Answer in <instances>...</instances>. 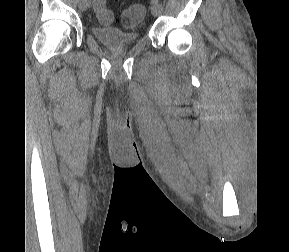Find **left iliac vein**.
Returning a JSON list of instances; mask_svg holds the SVG:
<instances>
[{
    "instance_id": "left-iliac-vein-1",
    "label": "left iliac vein",
    "mask_w": 289,
    "mask_h": 252,
    "mask_svg": "<svg viewBox=\"0 0 289 252\" xmlns=\"http://www.w3.org/2000/svg\"><path fill=\"white\" fill-rule=\"evenodd\" d=\"M162 12V6L159 3H152L151 5V13L153 16L157 17Z\"/></svg>"
}]
</instances>
